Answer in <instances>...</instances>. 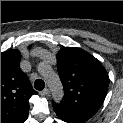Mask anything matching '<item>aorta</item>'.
Returning <instances> with one entry per match:
<instances>
[{
  "label": "aorta",
  "mask_w": 123,
  "mask_h": 123,
  "mask_svg": "<svg viewBox=\"0 0 123 123\" xmlns=\"http://www.w3.org/2000/svg\"><path fill=\"white\" fill-rule=\"evenodd\" d=\"M38 71L45 77L47 84L52 92L53 99L59 102L63 97V86L59 76L51 71L47 64H40Z\"/></svg>",
  "instance_id": "aorta-1"
}]
</instances>
